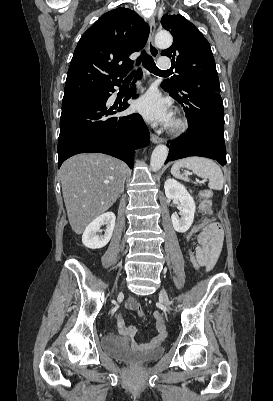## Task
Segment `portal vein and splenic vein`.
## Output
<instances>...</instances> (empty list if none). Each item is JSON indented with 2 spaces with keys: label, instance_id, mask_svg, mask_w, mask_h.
<instances>
[{
  "label": "portal vein and splenic vein",
  "instance_id": "obj_1",
  "mask_svg": "<svg viewBox=\"0 0 273 401\" xmlns=\"http://www.w3.org/2000/svg\"><path fill=\"white\" fill-rule=\"evenodd\" d=\"M186 172H188V174H192V172H189V170H186ZM196 182H200L199 178H196Z\"/></svg>",
  "mask_w": 273,
  "mask_h": 401
}]
</instances>
